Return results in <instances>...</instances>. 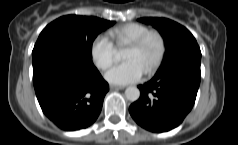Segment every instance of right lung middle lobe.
<instances>
[{
  "mask_svg": "<svg viewBox=\"0 0 238 145\" xmlns=\"http://www.w3.org/2000/svg\"><path fill=\"white\" fill-rule=\"evenodd\" d=\"M114 21L92 16L66 15L48 24L40 33L32 55L61 50L76 53L92 61V43L96 36Z\"/></svg>",
  "mask_w": 238,
  "mask_h": 145,
  "instance_id": "obj_1",
  "label": "right lung middle lobe"
}]
</instances>
